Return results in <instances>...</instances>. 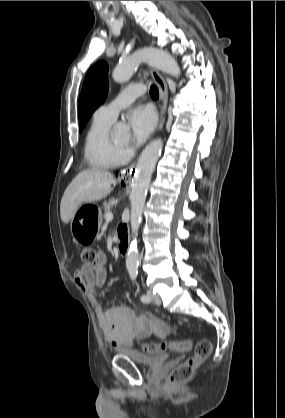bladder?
<instances>
[{
	"instance_id": "bladder-1",
	"label": "bladder",
	"mask_w": 285,
	"mask_h": 418,
	"mask_svg": "<svg viewBox=\"0 0 285 418\" xmlns=\"http://www.w3.org/2000/svg\"><path fill=\"white\" fill-rule=\"evenodd\" d=\"M117 355L127 356L135 363L145 367H155L168 359L166 353H140L128 347H118Z\"/></svg>"
}]
</instances>
